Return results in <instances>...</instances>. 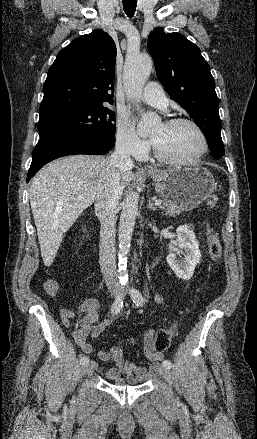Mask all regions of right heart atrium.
I'll list each match as a JSON object with an SVG mask.
<instances>
[{
	"label": "right heart atrium",
	"mask_w": 257,
	"mask_h": 439,
	"mask_svg": "<svg viewBox=\"0 0 257 439\" xmlns=\"http://www.w3.org/2000/svg\"><path fill=\"white\" fill-rule=\"evenodd\" d=\"M117 150L125 156L143 158L149 151L148 140L141 138L130 120L120 117L115 131Z\"/></svg>",
	"instance_id": "right-heart-atrium-1"
}]
</instances>
